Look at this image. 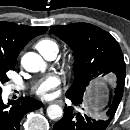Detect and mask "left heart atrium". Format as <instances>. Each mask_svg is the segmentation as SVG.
Listing matches in <instances>:
<instances>
[{
	"instance_id": "left-heart-atrium-1",
	"label": "left heart atrium",
	"mask_w": 130,
	"mask_h": 130,
	"mask_svg": "<svg viewBox=\"0 0 130 130\" xmlns=\"http://www.w3.org/2000/svg\"><path fill=\"white\" fill-rule=\"evenodd\" d=\"M59 84L60 78L55 74H50L37 83L35 92L41 97L48 98Z\"/></svg>"
}]
</instances>
